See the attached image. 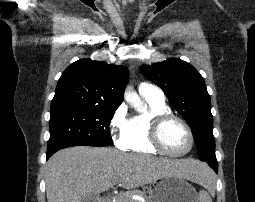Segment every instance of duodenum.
Wrapping results in <instances>:
<instances>
[{
	"mask_svg": "<svg viewBox=\"0 0 255 202\" xmlns=\"http://www.w3.org/2000/svg\"><path fill=\"white\" fill-rule=\"evenodd\" d=\"M100 202H110V199L108 197H103Z\"/></svg>",
	"mask_w": 255,
	"mask_h": 202,
	"instance_id": "duodenum-1",
	"label": "duodenum"
}]
</instances>
